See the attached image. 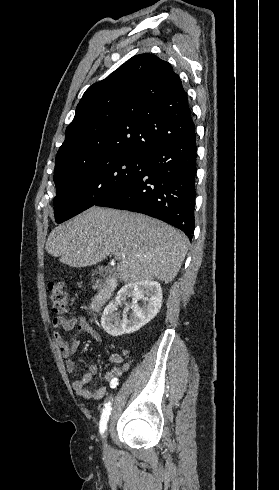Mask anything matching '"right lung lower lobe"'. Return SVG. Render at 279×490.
<instances>
[{
  "instance_id": "right-lung-lower-lobe-1",
  "label": "right lung lower lobe",
  "mask_w": 279,
  "mask_h": 490,
  "mask_svg": "<svg viewBox=\"0 0 279 490\" xmlns=\"http://www.w3.org/2000/svg\"><path fill=\"white\" fill-rule=\"evenodd\" d=\"M196 133L145 158L144 172L96 206L143 213L180 229L192 240L195 228Z\"/></svg>"
}]
</instances>
